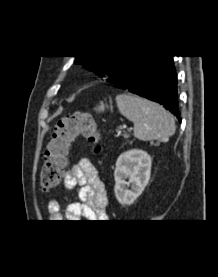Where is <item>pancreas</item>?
Returning a JSON list of instances; mask_svg holds the SVG:
<instances>
[{
    "instance_id": "cf45deb5",
    "label": "pancreas",
    "mask_w": 218,
    "mask_h": 277,
    "mask_svg": "<svg viewBox=\"0 0 218 277\" xmlns=\"http://www.w3.org/2000/svg\"><path fill=\"white\" fill-rule=\"evenodd\" d=\"M124 137H125V138H128V135H127V134H125V135H124Z\"/></svg>"
}]
</instances>
